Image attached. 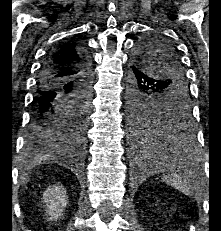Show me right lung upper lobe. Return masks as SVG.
Returning <instances> with one entry per match:
<instances>
[{"label": "right lung upper lobe", "instance_id": "cb5924a9", "mask_svg": "<svg viewBox=\"0 0 221 231\" xmlns=\"http://www.w3.org/2000/svg\"><path fill=\"white\" fill-rule=\"evenodd\" d=\"M85 53L76 43L68 42L55 49L47 58L57 68L54 79L68 82L80 72L79 63L81 55Z\"/></svg>", "mask_w": 221, "mask_h": 231}]
</instances>
